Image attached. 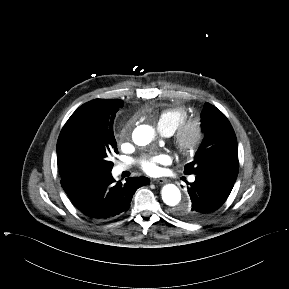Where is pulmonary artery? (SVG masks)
Returning a JSON list of instances; mask_svg holds the SVG:
<instances>
[{"label": "pulmonary artery", "instance_id": "obj_1", "mask_svg": "<svg viewBox=\"0 0 289 289\" xmlns=\"http://www.w3.org/2000/svg\"><path fill=\"white\" fill-rule=\"evenodd\" d=\"M159 130H160L163 134H165V135H170L169 132L163 131V130L160 129V128H159ZM126 169H127V165L120 163V164H118V165L115 166V168H114V174H115V175H118V174L122 173V172H123L124 170H126ZM194 180H195V177H194V176H191V177H190V181L193 182Z\"/></svg>", "mask_w": 289, "mask_h": 289}]
</instances>
